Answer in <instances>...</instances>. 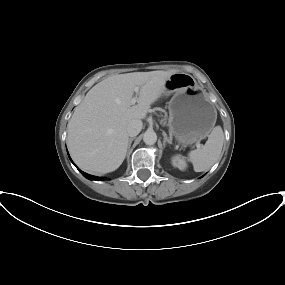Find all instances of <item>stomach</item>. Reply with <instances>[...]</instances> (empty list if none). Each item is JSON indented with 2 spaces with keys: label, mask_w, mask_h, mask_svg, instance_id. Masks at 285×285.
<instances>
[{
  "label": "stomach",
  "mask_w": 285,
  "mask_h": 285,
  "mask_svg": "<svg viewBox=\"0 0 285 285\" xmlns=\"http://www.w3.org/2000/svg\"><path fill=\"white\" fill-rule=\"evenodd\" d=\"M165 94H173L169 102L168 126L182 145L206 138L213 129L217 111L209 96L200 92L194 78L186 73L173 74L166 83Z\"/></svg>",
  "instance_id": "stomach-1"
}]
</instances>
